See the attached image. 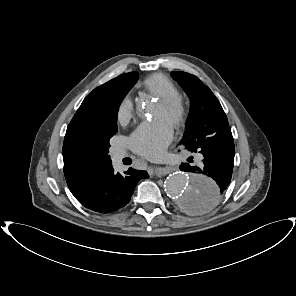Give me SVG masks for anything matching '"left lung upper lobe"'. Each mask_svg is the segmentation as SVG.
Wrapping results in <instances>:
<instances>
[{"instance_id": "obj_1", "label": "left lung upper lobe", "mask_w": 296, "mask_h": 296, "mask_svg": "<svg viewBox=\"0 0 296 296\" xmlns=\"http://www.w3.org/2000/svg\"><path fill=\"white\" fill-rule=\"evenodd\" d=\"M171 76L183 88L190 98V112L186 131L180 144L191 152H202L208 140L220 130L229 127L226 114L212 91L194 75L178 71ZM193 199L184 204L188 208Z\"/></svg>"}]
</instances>
